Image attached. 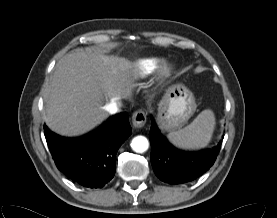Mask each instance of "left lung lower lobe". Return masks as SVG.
<instances>
[{
    "instance_id": "0a47b994",
    "label": "left lung lower lobe",
    "mask_w": 277,
    "mask_h": 218,
    "mask_svg": "<svg viewBox=\"0 0 277 218\" xmlns=\"http://www.w3.org/2000/svg\"><path fill=\"white\" fill-rule=\"evenodd\" d=\"M149 138L154 173L169 184L190 182L206 172L215 162L222 143L220 141L213 149L205 152L179 151L161 135L154 122Z\"/></svg>"
}]
</instances>
